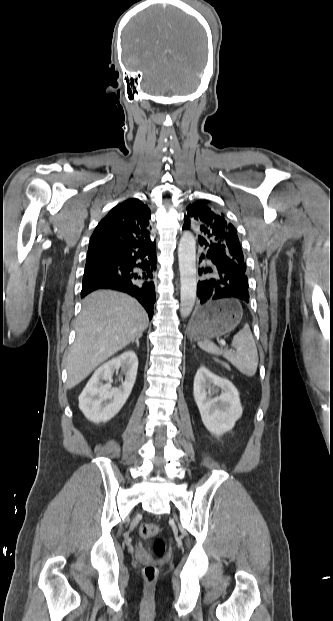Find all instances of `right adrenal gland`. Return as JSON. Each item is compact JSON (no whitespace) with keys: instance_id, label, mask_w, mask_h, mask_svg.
Here are the masks:
<instances>
[{"instance_id":"1","label":"right adrenal gland","mask_w":333,"mask_h":621,"mask_svg":"<svg viewBox=\"0 0 333 621\" xmlns=\"http://www.w3.org/2000/svg\"><path fill=\"white\" fill-rule=\"evenodd\" d=\"M139 338L137 337L135 340H132L131 343L133 344L134 342H136L137 347H139Z\"/></svg>"}]
</instances>
